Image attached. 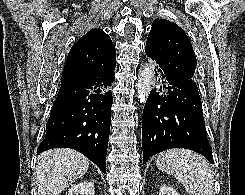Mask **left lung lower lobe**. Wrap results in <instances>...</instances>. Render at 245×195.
<instances>
[{
  "mask_svg": "<svg viewBox=\"0 0 245 195\" xmlns=\"http://www.w3.org/2000/svg\"><path fill=\"white\" fill-rule=\"evenodd\" d=\"M161 86L150 91L143 110V163L170 148L193 150L213 163L197 85L157 67Z\"/></svg>",
  "mask_w": 245,
  "mask_h": 195,
  "instance_id": "obj_1",
  "label": "left lung lower lobe"
}]
</instances>
